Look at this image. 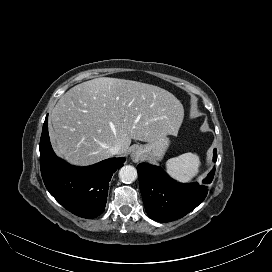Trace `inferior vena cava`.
I'll list each match as a JSON object with an SVG mask.
<instances>
[{
  "label": "inferior vena cava",
  "instance_id": "inferior-vena-cava-1",
  "mask_svg": "<svg viewBox=\"0 0 272 272\" xmlns=\"http://www.w3.org/2000/svg\"><path fill=\"white\" fill-rule=\"evenodd\" d=\"M112 155L118 154L121 150V146L118 144H115L109 148Z\"/></svg>",
  "mask_w": 272,
  "mask_h": 272
}]
</instances>
